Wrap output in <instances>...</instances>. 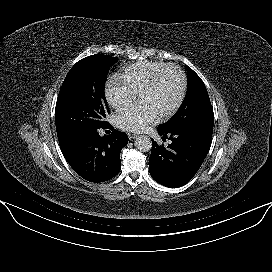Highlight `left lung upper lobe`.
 I'll return each instance as SVG.
<instances>
[{
	"label": "left lung upper lobe",
	"instance_id": "5c2ea615",
	"mask_svg": "<svg viewBox=\"0 0 272 272\" xmlns=\"http://www.w3.org/2000/svg\"><path fill=\"white\" fill-rule=\"evenodd\" d=\"M188 90L179 111L159 127L166 132L198 130L212 133L214 113L206 87L201 78L188 66Z\"/></svg>",
	"mask_w": 272,
	"mask_h": 272
}]
</instances>
